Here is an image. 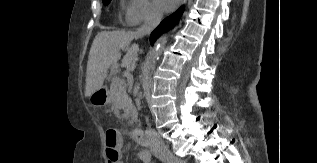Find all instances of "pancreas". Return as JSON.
<instances>
[{
	"mask_svg": "<svg viewBox=\"0 0 317 163\" xmlns=\"http://www.w3.org/2000/svg\"><path fill=\"white\" fill-rule=\"evenodd\" d=\"M109 102L111 103V109L118 115V118L128 120L129 125H133L137 121V110L128 96L122 81L120 84H111ZM120 111L123 112L121 116H119Z\"/></svg>",
	"mask_w": 317,
	"mask_h": 163,
	"instance_id": "pancreas-1",
	"label": "pancreas"
}]
</instances>
